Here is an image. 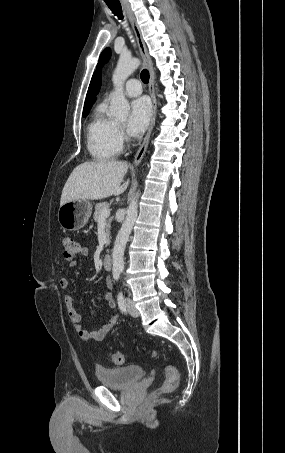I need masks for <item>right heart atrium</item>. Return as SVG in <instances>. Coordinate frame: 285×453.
<instances>
[{"label":"right heart atrium","instance_id":"obj_1","mask_svg":"<svg viewBox=\"0 0 285 453\" xmlns=\"http://www.w3.org/2000/svg\"><path fill=\"white\" fill-rule=\"evenodd\" d=\"M119 134H120L121 140L125 138V134L121 128L119 129Z\"/></svg>","mask_w":285,"mask_h":453}]
</instances>
